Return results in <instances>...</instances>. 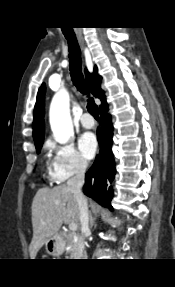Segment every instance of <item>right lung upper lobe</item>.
Returning a JSON list of instances; mask_svg holds the SVG:
<instances>
[{"instance_id":"right-lung-upper-lobe-1","label":"right lung upper lobe","mask_w":175,"mask_h":287,"mask_svg":"<svg viewBox=\"0 0 175 287\" xmlns=\"http://www.w3.org/2000/svg\"><path fill=\"white\" fill-rule=\"evenodd\" d=\"M86 82L91 90L92 94L101 100L100 110L107 105L106 96L104 91L101 89L102 77L97 73V67H94V72L90 74L85 70ZM44 95H45V84L43 83L39 88L37 94V101L34 108V121H33V138L36 143L42 142L44 138Z\"/></svg>"}]
</instances>
